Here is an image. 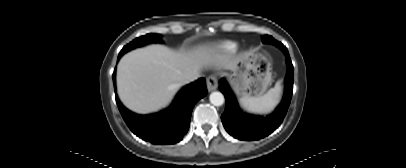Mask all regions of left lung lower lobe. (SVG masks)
<instances>
[{
  "label": "left lung lower lobe",
  "instance_id": "left-lung-lower-lobe-1",
  "mask_svg": "<svg viewBox=\"0 0 406 168\" xmlns=\"http://www.w3.org/2000/svg\"><path fill=\"white\" fill-rule=\"evenodd\" d=\"M286 55L288 73L285 78V93L282 102L269 116L243 114L239 109L236 98L226 80L222 78L220 91L226 100L225 111L221 116L226 131L240 140H259L271 134L282 123L292 98L293 91V65L285 46L282 49Z\"/></svg>",
  "mask_w": 406,
  "mask_h": 168
}]
</instances>
